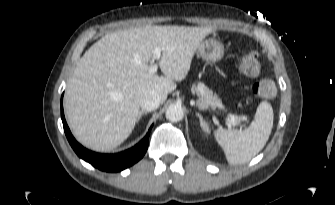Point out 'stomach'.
<instances>
[{
	"label": "stomach",
	"mask_w": 335,
	"mask_h": 205,
	"mask_svg": "<svg viewBox=\"0 0 335 205\" xmlns=\"http://www.w3.org/2000/svg\"><path fill=\"white\" fill-rule=\"evenodd\" d=\"M196 53L198 57L215 63L223 58L224 46L219 40L209 38L200 43Z\"/></svg>",
	"instance_id": "0dacf381"
}]
</instances>
